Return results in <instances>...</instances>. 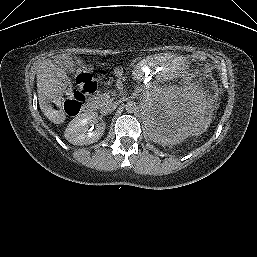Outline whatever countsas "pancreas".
Returning a JSON list of instances; mask_svg holds the SVG:
<instances>
[{
  "mask_svg": "<svg viewBox=\"0 0 257 257\" xmlns=\"http://www.w3.org/2000/svg\"><path fill=\"white\" fill-rule=\"evenodd\" d=\"M107 100V97H105L103 94H98L96 97L92 99L93 104L96 108L102 107Z\"/></svg>",
  "mask_w": 257,
  "mask_h": 257,
  "instance_id": "1",
  "label": "pancreas"
}]
</instances>
